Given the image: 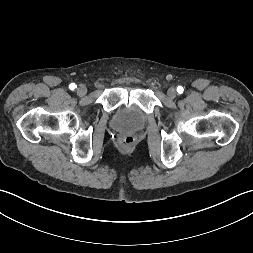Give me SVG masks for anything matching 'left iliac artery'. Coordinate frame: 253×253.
Masks as SVG:
<instances>
[{"mask_svg": "<svg viewBox=\"0 0 253 253\" xmlns=\"http://www.w3.org/2000/svg\"><path fill=\"white\" fill-rule=\"evenodd\" d=\"M183 91H184V89H183L182 86H178V87H177V92H178L179 94H182Z\"/></svg>", "mask_w": 253, "mask_h": 253, "instance_id": "44dca946", "label": "left iliac artery"}]
</instances>
